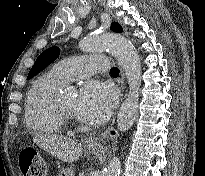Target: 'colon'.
Returning <instances> with one entry per match:
<instances>
[{"label": "colon", "instance_id": "5ec220e1", "mask_svg": "<svg viewBox=\"0 0 205 176\" xmlns=\"http://www.w3.org/2000/svg\"><path fill=\"white\" fill-rule=\"evenodd\" d=\"M20 171L22 176H46L47 163L42 157L26 152L20 160Z\"/></svg>", "mask_w": 205, "mask_h": 176}]
</instances>
